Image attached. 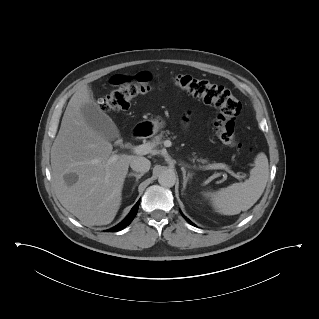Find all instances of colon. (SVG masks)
Instances as JSON below:
<instances>
[{
    "label": "colon",
    "instance_id": "obj_1",
    "mask_svg": "<svg viewBox=\"0 0 319 319\" xmlns=\"http://www.w3.org/2000/svg\"><path fill=\"white\" fill-rule=\"evenodd\" d=\"M111 82L116 88L103 100V107L111 112L127 111L133 98L155 88L151 79L143 73L129 78L115 76ZM173 83L185 92L201 98L206 104L216 107L219 115L214 129L218 139L229 146L239 145L234 120L241 111V103L227 87L184 74L175 75Z\"/></svg>",
    "mask_w": 319,
    "mask_h": 319
}]
</instances>
